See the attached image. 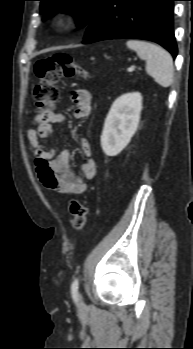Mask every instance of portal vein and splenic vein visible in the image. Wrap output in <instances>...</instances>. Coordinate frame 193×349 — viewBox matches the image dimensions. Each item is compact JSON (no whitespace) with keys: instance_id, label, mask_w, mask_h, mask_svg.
Returning <instances> with one entry per match:
<instances>
[{"instance_id":"portal-vein-and-splenic-vein-1","label":"portal vein and splenic vein","mask_w":193,"mask_h":349,"mask_svg":"<svg viewBox=\"0 0 193 349\" xmlns=\"http://www.w3.org/2000/svg\"><path fill=\"white\" fill-rule=\"evenodd\" d=\"M134 69H135V67L131 66V67L128 68V72H132V71H134Z\"/></svg>"}]
</instances>
